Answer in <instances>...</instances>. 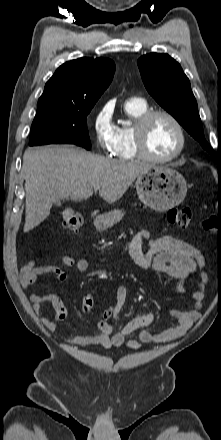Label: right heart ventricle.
I'll return each instance as SVG.
<instances>
[{
	"instance_id": "right-heart-ventricle-1",
	"label": "right heart ventricle",
	"mask_w": 221,
	"mask_h": 440,
	"mask_svg": "<svg viewBox=\"0 0 221 440\" xmlns=\"http://www.w3.org/2000/svg\"><path fill=\"white\" fill-rule=\"evenodd\" d=\"M125 111L133 120H137L148 111V105L144 100L131 99L125 104ZM134 125H122L116 127V140L112 155L119 160H132L138 158L134 144Z\"/></svg>"
}]
</instances>
